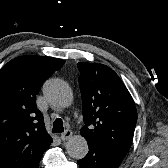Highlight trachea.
Segmentation results:
<instances>
[{
	"label": "trachea",
	"mask_w": 168,
	"mask_h": 168,
	"mask_svg": "<svg viewBox=\"0 0 168 168\" xmlns=\"http://www.w3.org/2000/svg\"><path fill=\"white\" fill-rule=\"evenodd\" d=\"M64 131L63 121L60 118H57L53 123V133H61Z\"/></svg>",
	"instance_id": "3493384b"
}]
</instances>
